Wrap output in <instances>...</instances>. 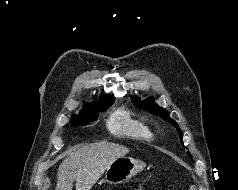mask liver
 Returning a JSON list of instances; mask_svg holds the SVG:
<instances>
[{"mask_svg": "<svg viewBox=\"0 0 238 190\" xmlns=\"http://www.w3.org/2000/svg\"><path fill=\"white\" fill-rule=\"evenodd\" d=\"M129 153V148L101 141L76 147L67 152L57 172L56 190H90L104 171L117 159Z\"/></svg>", "mask_w": 238, "mask_h": 190, "instance_id": "6515ba94", "label": "liver"}]
</instances>
